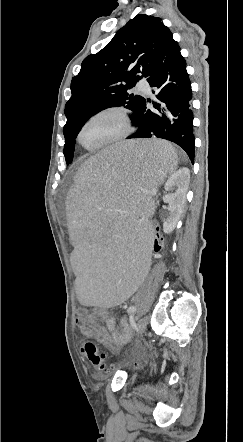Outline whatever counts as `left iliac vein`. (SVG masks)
I'll return each mask as SVG.
<instances>
[{
  "instance_id": "obj_1",
  "label": "left iliac vein",
  "mask_w": 243,
  "mask_h": 442,
  "mask_svg": "<svg viewBox=\"0 0 243 442\" xmlns=\"http://www.w3.org/2000/svg\"><path fill=\"white\" fill-rule=\"evenodd\" d=\"M146 326H147L146 319L144 317H141L138 320V330L136 332V338H135V341H134V345H135L136 348H140L141 347L142 343H141L140 338L143 335V333H144V331L146 329Z\"/></svg>"
}]
</instances>
